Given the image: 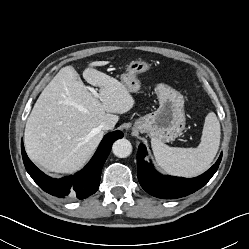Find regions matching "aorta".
Returning a JSON list of instances; mask_svg holds the SVG:
<instances>
[{
	"instance_id": "1",
	"label": "aorta",
	"mask_w": 249,
	"mask_h": 249,
	"mask_svg": "<svg viewBox=\"0 0 249 249\" xmlns=\"http://www.w3.org/2000/svg\"><path fill=\"white\" fill-rule=\"evenodd\" d=\"M112 151L115 156L119 158H126L132 152V145L130 141L125 138L118 139L113 143Z\"/></svg>"
}]
</instances>
